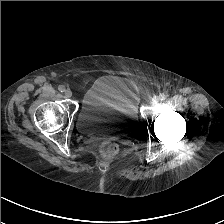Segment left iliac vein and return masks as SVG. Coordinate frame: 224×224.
Returning <instances> with one entry per match:
<instances>
[{"label": "left iliac vein", "instance_id": "4c4485c4", "mask_svg": "<svg viewBox=\"0 0 224 224\" xmlns=\"http://www.w3.org/2000/svg\"><path fill=\"white\" fill-rule=\"evenodd\" d=\"M158 102H159V98H158V97H154V98L152 99V101H151V103H152L153 105H157Z\"/></svg>", "mask_w": 224, "mask_h": 224}]
</instances>
